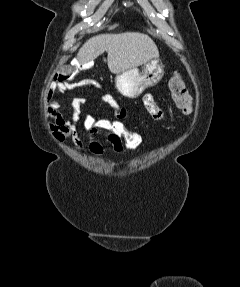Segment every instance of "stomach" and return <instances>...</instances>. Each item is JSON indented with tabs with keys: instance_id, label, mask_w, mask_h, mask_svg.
<instances>
[{
	"instance_id": "1",
	"label": "stomach",
	"mask_w": 240,
	"mask_h": 287,
	"mask_svg": "<svg viewBox=\"0 0 240 287\" xmlns=\"http://www.w3.org/2000/svg\"><path fill=\"white\" fill-rule=\"evenodd\" d=\"M163 75L164 65L158 58H154L141 71L134 67L119 73L115 78L116 88L127 98H136L145 89L157 85Z\"/></svg>"
}]
</instances>
